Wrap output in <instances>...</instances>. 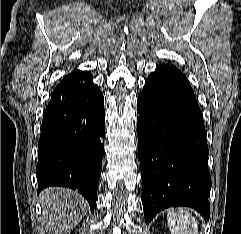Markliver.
<instances>
[{
	"label": "liver",
	"mask_w": 241,
	"mask_h": 234,
	"mask_svg": "<svg viewBox=\"0 0 241 234\" xmlns=\"http://www.w3.org/2000/svg\"><path fill=\"white\" fill-rule=\"evenodd\" d=\"M42 205L41 228L49 234H64L76 227L87 213V202L77 192L46 188L40 194Z\"/></svg>",
	"instance_id": "6515ba94"
}]
</instances>
